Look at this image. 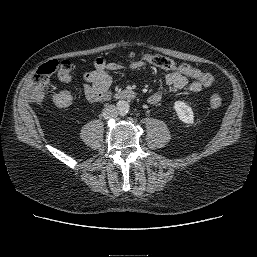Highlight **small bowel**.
Listing matches in <instances>:
<instances>
[{
	"mask_svg": "<svg viewBox=\"0 0 257 257\" xmlns=\"http://www.w3.org/2000/svg\"><path fill=\"white\" fill-rule=\"evenodd\" d=\"M150 65L145 60H135L127 67L117 62H107L104 58H97L95 61V69L85 74L84 91L88 100L92 102L102 101L109 97L111 77L109 72H119L122 70L136 71ZM164 84L169 91L186 90L190 92H199L204 87L197 80H190L189 77L171 70L164 77ZM163 98L161 91H155L148 97L151 105L158 104Z\"/></svg>",
	"mask_w": 257,
	"mask_h": 257,
	"instance_id": "c3829d8e",
	"label": "small bowel"
}]
</instances>
